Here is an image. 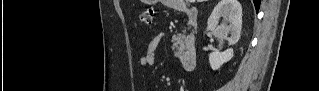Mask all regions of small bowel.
Masks as SVG:
<instances>
[{
  "mask_svg": "<svg viewBox=\"0 0 319 91\" xmlns=\"http://www.w3.org/2000/svg\"><path fill=\"white\" fill-rule=\"evenodd\" d=\"M162 37L160 35H153L150 37L146 46L144 55L140 58L141 66H149L155 62V54L161 43Z\"/></svg>",
  "mask_w": 319,
  "mask_h": 91,
  "instance_id": "obj_1",
  "label": "small bowel"
}]
</instances>
